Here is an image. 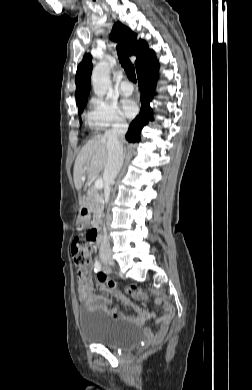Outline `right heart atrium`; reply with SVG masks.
<instances>
[{"label":"right heart atrium","instance_id":"1","mask_svg":"<svg viewBox=\"0 0 252 390\" xmlns=\"http://www.w3.org/2000/svg\"><path fill=\"white\" fill-rule=\"evenodd\" d=\"M87 120L97 131L126 127V120L117 105L100 98L90 100Z\"/></svg>","mask_w":252,"mask_h":390}]
</instances>
